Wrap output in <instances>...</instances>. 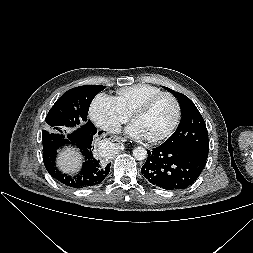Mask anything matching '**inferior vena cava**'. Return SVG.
<instances>
[{
	"instance_id": "inferior-vena-cava-1",
	"label": "inferior vena cava",
	"mask_w": 253,
	"mask_h": 253,
	"mask_svg": "<svg viewBox=\"0 0 253 253\" xmlns=\"http://www.w3.org/2000/svg\"><path fill=\"white\" fill-rule=\"evenodd\" d=\"M106 131L113 134H118L121 132V125L119 123H109L105 126Z\"/></svg>"
}]
</instances>
